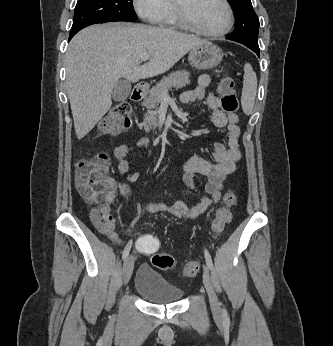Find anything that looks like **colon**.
I'll return each instance as SVG.
<instances>
[{
	"mask_svg": "<svg viewBox=\"0 0 333 346\" xmlns=\"http://www.w3.org/2000/svg\"><path fill=\"white\" fill-rule=\"evenodd\" d=\"M221 106L226 113H235L238 110V97L235 83L229 76H224L219 85ZM131 107L126 103L116 105L102 120L99 125L101 135H115L127 129L131 124ZM110 159L105 153H99L93 157L79 161L76 173V187L82 198L91 204H102L111 189V181L106 174L109 170ZM237 203L236 194L228 191L223 198L221 206L212 221V231L215 235L220 234L225 226L231 221L232 208ZM138 230L137 228L135 229ZM137 254L152 256V264L161 270L173 269L176 260L167 253H156L162 250V245L156 235H135ZM200 264L191 261L181 268L183 277H192L199 270Z\"/></svg>",
	"mask_w": 333,
	"mask_h": 346,
	"instance_id": "1",
	"label": "colon"
}]
</instances>
